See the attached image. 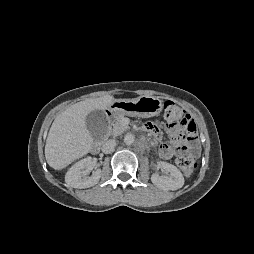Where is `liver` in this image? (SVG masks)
<instances>
[{
    "instance_id": "liver-1",
    "label": "liver",
    "mask_w": 254,
    "mask_h": 254,
    "mask_svg": "<svg viewBox=\"0 0 254 254\" xmlns=\"http://www.w3.org/2000/svg\"><path fill=\"white\" fill-rule=\"evenodd\" d=\"M111 95L75 103L60 113L52 123L45 145L50 167L61 170L92 149L93 138L86 127V116L93 110H105L114 101Z\"/></svg>"
}]
</instances>
